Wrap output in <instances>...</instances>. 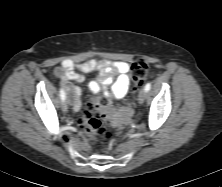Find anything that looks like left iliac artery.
Instances as JSON below:
<instances>
[{"instance_id":"44dca946","label":"left iliac artery","mask_w":222,"mask_h":187,"mask_svg":"<svg viewBox=\"0 0 222 187\" xmlns=\"http://www.w3.org/2000/svg\"><path fill=\"white\" fill-rule=\"evenodd\" d=\"M150 88H151V83H147L144 87V90L148 92Z\"/></svg>"}]
</instances>
